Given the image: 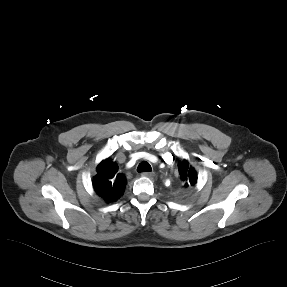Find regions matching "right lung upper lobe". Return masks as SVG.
<instances>
[{"label":"right lung upper lobe","instance_id":"1","mask_svg":"<svg viewBox=\"0 0 287 287\" xmlns=\"http://www.w3.org/2000/svg\"><path fill=\"white\" fill-rule=\"evenodd\" d=\"M126 180L118 173L116 163L109 158L103 160L97 167V175L93 179L95 192L106 202H115L124 191Z\"/></svg>","mask_w":287,"mask_h":287}]
</instances>
